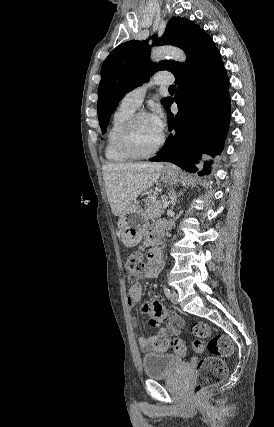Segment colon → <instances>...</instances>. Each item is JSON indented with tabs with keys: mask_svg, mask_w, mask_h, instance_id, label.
<instances>
[{
	"mask_svg": "<svg viewBox=\"0 0 274 427\" xmlns=\"http://www.w3.org/2000/svg\"><path fill=\"white\" fill-rule=\"evenodd\" d=\"M126 268L129 279L131 281L137 280L144 268L142 255L140 253L128 254ZM190 331L196 337L194 342L195 349L205 345L210 355L200 359L196 380L190 391L192 395H206L208 387L220 384L227 376L225 359L232 356L233 346L231 341L224 335H212L209 326L205 322L193 323L190 326ZM156 348L161 352L173 351L181 357L187 355L185 344L177 340H158Z\"/></svg>",
	"mask_w": 274,
	"mask_h": 427,
	"instance_id": "1",
	"label": "colon"
}]
</instances>
